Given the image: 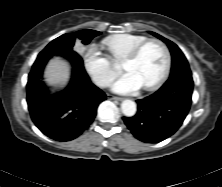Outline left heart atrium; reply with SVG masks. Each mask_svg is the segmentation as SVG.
<instances>
[{
    "label": "left heart atrium",
    "mask_w": 222,
    "mask_h": 187,
    "mask_svg": "<svg viewBox=\"0 0 222 187\" xmlns=\"http://www.w3.org/2000/svg\"><path fill=\"white\" fill-rule=\"evenodd\" d=\"M141 86L138 80L129 72L122 74L113 84V90L119 93H132Z\"/></svg>",
    "instance_id": "39dd6f15"
}]
</instances>
